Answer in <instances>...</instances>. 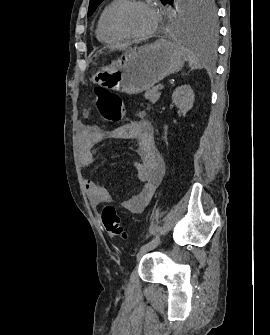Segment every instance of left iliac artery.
I'll return each instance as SVG.
<instances>
[{
    "mask_svg": "<svg viewBox=\"0 0 270 335\" xmlns=\"http://www.w3.org/2000/svg\"><path fill=\"white\" fill-rule=\"evenodd\" d=\"M160 242V237L157 235L155 238H153L151 241L148 243L144 244L141 249L143 248H154L156 247Z\"/></svg>",
    "mask_w": 270,
    "mask_h": 335,
    "instance_id": "44dca946",
    "label": "left iliac artery"
}]
</instances>
